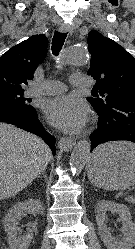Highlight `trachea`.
<instances>
[{"mask_svg": "<svg viewBox=\"0 0 135 249\" xmlns=\"http://www.w3.org/2000/svg\"><path fill=\"white\" fill-rule=\"evenodd\" d=\"M67 37V33L66 32H58L56 31L54 33L53 39H52V52L54 55H58L59 52L62 49V46L65 42V39Z\"/></svg>", "mask_w": 135, "mask_h": 249, "instance_id": "obj_1", "label": "trachea"}]
</instances>
